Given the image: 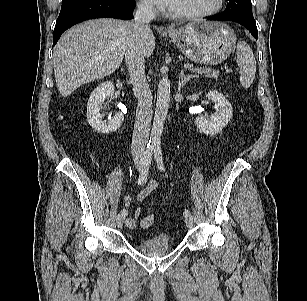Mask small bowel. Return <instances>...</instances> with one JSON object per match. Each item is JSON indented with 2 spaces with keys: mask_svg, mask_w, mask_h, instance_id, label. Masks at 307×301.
<instances>
[{
  "mask_svg": "<svg viewBox=\"0 0 307 301\" xmlns=\"http://www.w3.org/2000/svg\"><path fill=\"white\" fill-rule=\"evenodd\" d=\"M158 185L155 181L148 182L144 188H142L135 195H126L123 197V203L126 207L130 206L134 202H141L145 200L150 194L156 191ZM141 210L140 208H136L133 217H129L126 219L125 224L128 228H134L136 226V219L140 216Z\"/></svg>",
  "mask_w": 307,
  "mask_h": 301,
  "instance_id": "obj_1",
  "label": "small bowel"
}]
</instances>
